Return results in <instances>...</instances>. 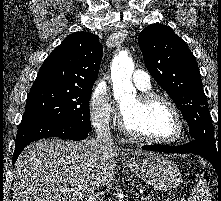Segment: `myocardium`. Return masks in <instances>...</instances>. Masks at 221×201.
Masks as SVG:
<instances>
[{"instance_id":"obj_1","label":"myocardium","mask_w":221,"mask_h":201,"mask_svg":"<svg viewBox=\"0 0 221 201\" xmlns=\"http://www.w3.org/2000/svg\"><path fill=\"white\" fill-rule=\"evenodd\" d=\"M136 98L138 102L142 105H146V104L156 102V101L165 103L171 109V111L173 112V114L175 115L177 119L178 131L174 137L167 138V139L148 137V136L139 134L133 129H131L128 126L124 118V115L122 113V116L120 119V128L124 134H126L128 137L132 139L142 141V142L152 143V144H171V143L177 142L178 140L182 138L185 132V122H184V119L180 110L171 99H169L168 97L164 95L154 93V92H144V93L137 95Z\"/></svg>"}]
</instances>
